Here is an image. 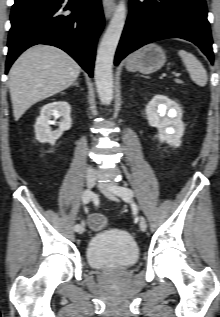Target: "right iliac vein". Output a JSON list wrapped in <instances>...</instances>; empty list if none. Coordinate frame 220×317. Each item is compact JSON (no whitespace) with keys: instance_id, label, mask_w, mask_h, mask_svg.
<instances>
[{"instance_id":"obj_1","label":"right iliac vein","mask_w":220,"mask_h":317,"mask_svg":"<svg viewBox=\"0 0 220 317\" xmlns=\"http://www.w3.org/2000/svg\"><path fill=\"white\" fill-rule=\"evenodd\" d=\"M95 181H96V176L94 174H88L86 176V184L89 189H92L94 187ZM84 230H85V225L84 223H82L78 233L81 234L84 232Z\"/></svg>"}]
</instances>
